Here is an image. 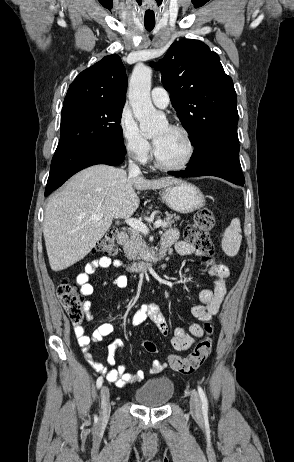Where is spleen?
Listing matches in <instances>:
<instances>
[{"label":"spleen","mask_w":294,"mask_h":462,"mask_svg":"<svg viewBox=\"0 0 294 462\" xmlns=\"http://www.w3.org/2000/svg\"><path fill=\"white\" fill-rule=\"evenodd\" d=\"M241 224L239 219H233L225 229L222 239V249L228 256H235L241 245Z\"/></svg>","instance_id":"spleen-1"}]
</instances>
